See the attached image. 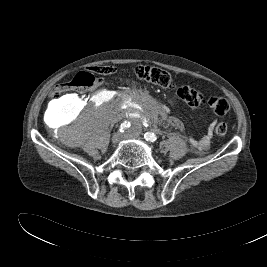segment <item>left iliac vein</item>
<instances>
[{
  "instance_id": "1",
  "label": "left iliac vein",
  "mask_w": 267,
  "mask_h": 267,
  "mask_svg": "<svg viewBox=\"0 0 267 267\" xmlns=\"http://www.w3.org/2000/svg\"><path fill=\"white\" fill-rule=\"evenodd\" d=\"M127 137H128V138H138V136H137L135 133H133V132H129V133L127 134Z\"/></svg>"
}]
</instances>
